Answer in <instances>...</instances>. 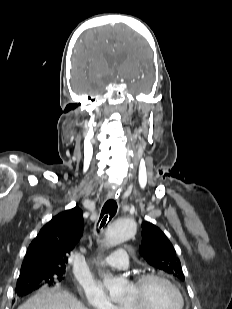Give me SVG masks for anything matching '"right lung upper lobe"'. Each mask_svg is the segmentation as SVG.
I'll use <instances>...</instances> for the list:
<instances>
[{
	"mask_svg": "<svg viewBox=\"0 0 232 309\" xmlns=\"http://www.w3.org/2000/svg\"><path fill=\"white\" fill-rule=\"evenodd\" d=\"M82 211L75 207L56 215L45 224L29 245L22 271H65L68 254L83 231Z\"/></svg>",
	"mask_w": 232,
	"mask_h": 309,
	"instance_id": "obj_1",
	"label": "right lung upper lobe"
}]
</instances>
